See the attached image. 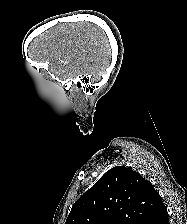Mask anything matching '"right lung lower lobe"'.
I'll use <instances>...</instances> for the list:
<instances>
[{"instance_id": "obj_1", "label": "right lung lower lobe", "mask_w": 187, "mask_h": 224, "mask_svg": "<svg viewBox=\"0 0 187 224\" xmlns=\"http://www.w3.org/2000/svg\"><path fill=\"white\" fill-rule=\"evenodd\" d=\"M158 224H169L168 214Z\"/></svg>"}]
</instances>
